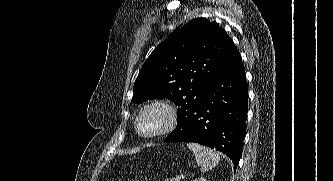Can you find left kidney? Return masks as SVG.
<instances>
[{
	"instance_id": "5707ae66",
	"label": "left kidney",
	"mask_w": 333,
	"mask_h": 181,
	"mask_svg": "<svg viewBox=\"0 0 333 181\" xmlns=\"http://www.w3.org/2000/svg\"><path fill=\"white\" fill-rule=\"evenodd\" d=\"M193 181H208L205 177H199L194 179Z\"/></svg>"
}]
</instances>
